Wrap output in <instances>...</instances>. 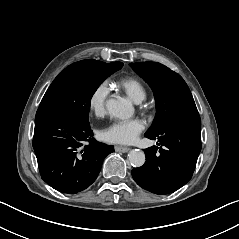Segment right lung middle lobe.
Segmentation results:
<instances>
[{
  "label": "right lung middle lobe",
  "mask_w": 239,
  "mask_h": 239,
  "mask_svg": "<svg viewBox=\"0 0 239 239\" xmlns=\"http://www.w3.org/2000/svg\"><path fill=\"white\" fill-rule=\"evenodd\" d=\"M121 66L94 59L81 60L64 69L46 91L36 115L68 111L89 121L90 100L99 85Z\"/></svg>",
  "instance_id": "1"
}]
</instances>
